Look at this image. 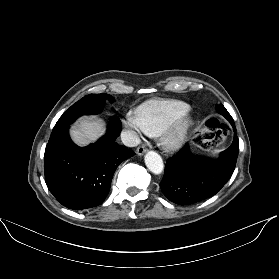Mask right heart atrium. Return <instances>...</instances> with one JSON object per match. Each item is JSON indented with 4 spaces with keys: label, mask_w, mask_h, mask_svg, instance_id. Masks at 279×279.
Returning a JSON list of instances; mask_svg holds the SVG:
<instances>
[{
    "label": "right heart atrium",
    "mask_w": 279,
    "mask_h": 279,
    "mask_svg": "<svg viewBox=\"0 0 279 279\" xmlns=\"http://www.w3.org/2000/svg\"><path fill=\"white\" fill-rule=\"evenodd\" d=\"M125 125L138 132L142 131V126L137 113H128L125 118Z\"/></svg>",
    "instance_id": "right-heart-atrium-1"
}]
</instances>
